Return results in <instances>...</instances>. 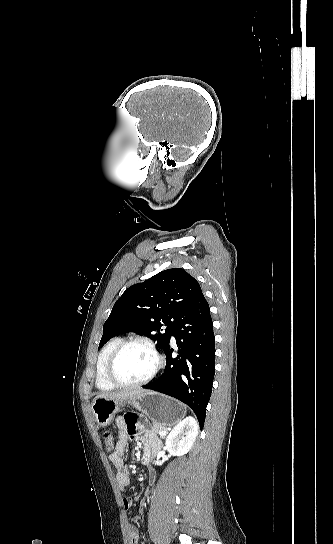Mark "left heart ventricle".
<instances>
[{"instance_id":"1","label":"left heart ventricle","mask_w":333,"mask_h":544,"mask_svg":"<svg viewBox=\"0 0 333 544\" xmlns=\"http://www.w3.org/2000/svg\"><path fill=\"white\" fill-rule=\"evenodd\" d=\"M155 365L152 353L145 347L132 345L119 356L115 374L123 382H136L146 378Z\"/></svg>"}]
</instances>
